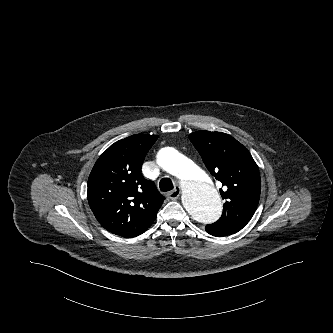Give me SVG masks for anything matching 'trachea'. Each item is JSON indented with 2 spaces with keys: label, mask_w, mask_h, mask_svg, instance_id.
Masks as SVG:
<instances>
[{
  "label": "trachea",
  "mask_w": 333,
  "mask_h": 333,
  "mask_svg": "<svg viewBox=\"0 0 333 333\" xmlns=\"http://www.w3.org/2000/svg\"><path fill=\"white\" fill-rule=\"evenodd\" d=\"M159 187L163 192L171 191L174 188L170 178H162L159 182Z\"/></svg>",
  "instance_id": "trachea-1"
}]
</instances>
